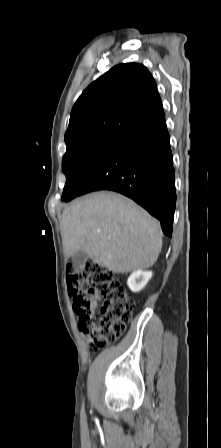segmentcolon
Returning a JSON list of instances; mask_svg holds the SVG:
<instances>
[{
	"label": "colon",
	"instance_id": "5ec220e1",
	"mask_svg": "<svg viewBox=\"0 0 221 448\" xmlns=\"http://www.w3.org/2000/svg\"><path fill=\"white\" fill-rule=\"evenodd\" d=\"M72 309L79 316V330L97 351L117 340L131 320L133 301L115 275L96 263L71 268L67 274ZM103 304L98 315L92 310L96 300Z\"/></svg>",
	"mask_w": 221,
	"mask_h": 448
}]
</instances>
